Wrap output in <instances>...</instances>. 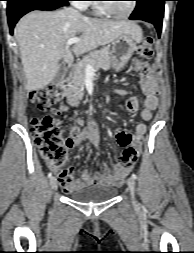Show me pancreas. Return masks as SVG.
I'll use <instances>...</instances> for the list:
<instances>
[{
  "instance_id": "1",
  "label": "pancreas",
  "mask_w": 194,
  "mask_h": 253,
  "mask_svg": "<svg viewBox=\"0 0 194 253\" xmlns=\"http://www.w3.org/2000/svg\"><path fill=\"white\" fill-rule=\"evenodd\" d=\"M87 65H91L95 70L100 68L104 70L109 69L111 65L109 49L102 48L100 50L90 52L74 67L67 79V87H63L64 95L70 103L83 97V86L85 83Z\"/></svg>"
}]
</instances>
